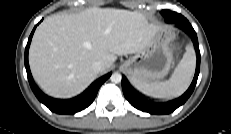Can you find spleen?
Returning <instances> with one entry per match:
<instances>
[{
	"label": "spleen",
	"instance_id": "spleen-1",
	"mask_svg": "<svg viewBox=\"0 0 231 134\" xmlns=\"http://www.w3.org/2000/svg\"><path fill=\"white\" fill-rule=\"evenodd\" d=\"M196 56L192 46L186 47L183 58L175 68L169 80L164 82H141L131 80L132 85L145 95L154 98H173L186 91L195 71Z\"/></svg>",
	"mask_w": 231,
	"mask_h": 134
}]
</instances>
